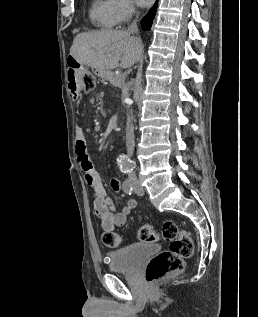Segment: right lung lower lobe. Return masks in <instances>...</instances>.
<instances>
[{
    "label": "right lung lower lobe",
    "instance_id": "obj_1",
    "mask_svg": "<svg viewBox=\"0 0 258 317\" xmlns=\"http://www.w3.org/2000/svg\"><path fill=\"white\" fill-rule=\"evenodd\" d=\"M157 3H158V0H156L154 6L151 8V10L147 13V15L141 21V27L144 30H150L151 28L153 19L155 17L156 9H157Z\"/></svg>",
    "mask_w": 258,
    "mask_h": 317
}]
</instances>
